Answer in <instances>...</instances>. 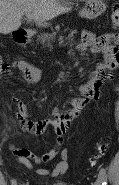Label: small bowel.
Returning <instances> with one entry per match:
<instances>
[{"label":"small bowel","instance_id":"c3829d8e","mask_svg":"<svg viewBox=\"0 0 119 185\" xmlns=\"http://www.w3.org/2000/svg\"><path fill=\"white\" fill-rule=\"evenodd\" d=\"M117 43L116 34L107 33L98 36L89 30L82 32L81 42L76 46L77 50L89 49L92 53H100L103 60L93 69L90 80L79 87L81 96H72L60 107L54 109L52 119L35 121L28 118L27 107L20 100L13 99L16 118L25 132L32 135H43L48 129H51L56 136L54 147L45 154H36L25 148L13 149L18 161L35 174L55 178L68 171V149L64 147L65 135L71 121L80 115L88 103L99 98L100 87L105 81L112 78V71L119 65V46ZM14 68L21 71L25 81L30 84L38 83L44 77V72L41 69L25 60L20 59L11 64L2 65V70L10 78H12ZM97 80L100 82L96 85ZM57 155H60L61 160L53 169L35 167V164L49 162Z\"/></svg>","mask_w":119,"mask_h":185}]
</instances>
